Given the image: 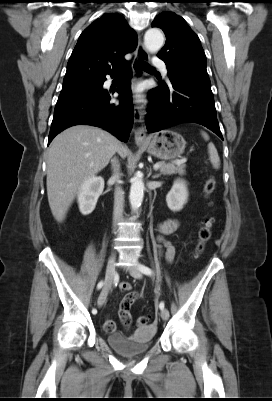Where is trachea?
<instances>
[{"label":"trachea","mask_w":272,"mask_h":401,"mask_svg":"<svg viewBox=\"0 0 272 401\" xmlns=\"http://www.w3.org/2000/svg\"><path fill=\"white\" fill-rule=\"evenodd\" d=\"M140 64H141L142 69H144L146 71H148V70L154 71L155 70V68H153L152 66H150L146 62H140Z\"/></svg>","instance_id":"3493384b"}]
</instances>
